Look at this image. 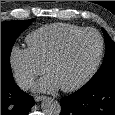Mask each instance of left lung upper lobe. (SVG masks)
I'll return each mask as SVG.
<instances>
[{"mask_svg": "<svg viewBox=\"0 0 115 115\" xmlns=\"http://www.w3.org/2000/svg\"><path fill=\"white\" fill-rule=\"evenodd\" d=\"M102 31L104 33L106 46L103 63L95 75L83 87L115 79V43L112 41L105 29L102 28Z\"/></svg>", "mask_w": 115, "mask_h": 115, "instance_id": "obj_1", "label": "left lung upper lobe"}]
</instances>
